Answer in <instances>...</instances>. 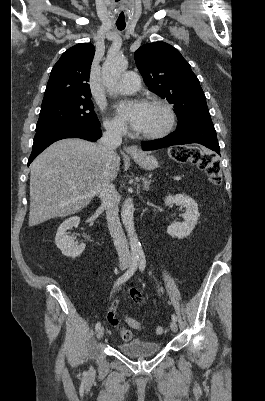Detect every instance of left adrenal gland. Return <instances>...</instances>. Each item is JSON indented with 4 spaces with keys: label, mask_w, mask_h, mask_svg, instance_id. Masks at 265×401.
<instances>
[{
    "label": "left adrenal gland",
    "mask_w": 265,
    "mask_h": 401,
    "mask_svg": "<svg viewBox=\"0 0 265 401\" xmlns=\"http://www.w3.org/2000/svg\"><path fill=\"white\" fill-rule=\"evenodd\" d=\"M141 180L143 182V190H149L150 184L152 182L151 178H147V176H143V178H141Z\"/></svg>",
    "instance_id": "a2214340"
}]
</instances>
